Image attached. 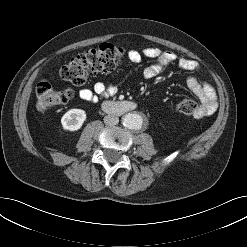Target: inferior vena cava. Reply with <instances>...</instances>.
Segmentation results:
<instances>
[{"instance_id": "602c4592", "label": "inferior vena cava", "mask_w": 247, "mask_h": 247, "mask_svg": "<svg viewBox=\"0 0 247 247\" xmlns=\"http://www.w3.org/2000/svg\"><path fill=\"white\" fill-rule=\"evenodd\" d=\"M104 123L108 126H114L119 123V118L114 115H106L104 117Z\"/></svg>"}]
</instances>
